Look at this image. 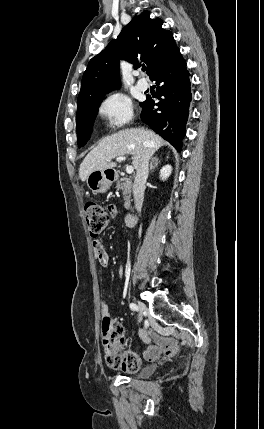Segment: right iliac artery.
I'll return each instance as SVG.
<instances>
[{
	"label": "right iliac artery",
	"instance_id": "obj_1",
	"mask_svg": "<svg viewBox=\"0 0 264 429\" xmlns=\"http://www.w3.org/2000/svg\"><path fill=\"white\" fill-rule=\"evenodd\" d=\"M129 306H130L131 310H133V311H138L139 310L138 306L136 304H134V303H131Z\"/></svg>",
	"mask_w": 264,
	"mask_h": 429
}]
</instances>
